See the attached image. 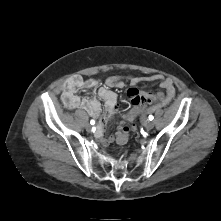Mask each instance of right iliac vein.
<instances>
[{
    "label": "right iliac vein",
    "mask_w": 221,
    "mask_h": 221,
    "mask_svg": "<svg viewBox=\"0 0 221 221\" xmlns=\"http://www.w3.org/2000/svg\"><path fill=\"white\" fill-rule=\"evenodd\" d=\"M86 130H87L88 132L92 131V127H91L90 124H87V125H86Z\"/></svg>",
    "instance_id": "63e3f726"
}]
</instances>
